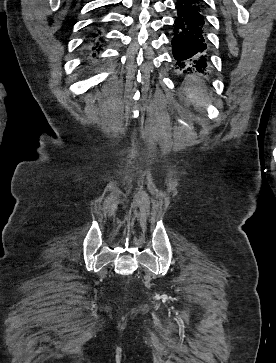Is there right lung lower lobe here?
Returning a JSON list of instances; mask_svg holds the SVG:
<instances>
[{
    "label": "right lung lower lobe",
    "instance_id": "right-lung-lower-lobe-1",
    "mask_svg": "<svg viewBox=\"0 0 276 363\" xmlns=\"http://www.w3.org/2000/svg\"><path fill=\"white\" fill-rule=\"evenodd\" d=\"M92 26V32L87 36L86 44L89 48H92L95 51L101 50L103 38L101 36L102 34V28L100 22H95L91 24Z\"/></svg>",
    "mask_w": 276,
    "mask_h": 363
}]
</instances>
